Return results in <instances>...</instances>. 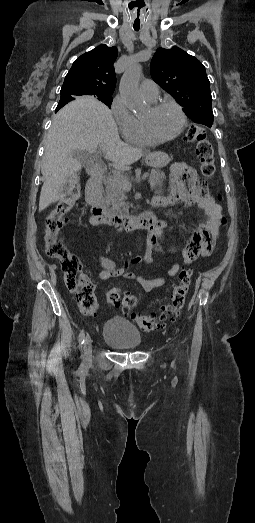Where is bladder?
<instances>
[{
  "mask_svg": "<svg viewBox=\"0 0 255 523\" xmlns=\"http://www.w3.org/2000/svg\"><path fill=\"white\" fill-rule=\"evenodd\" d=\"M103 341L112 346L133 350L142 344L138 330L126 319H107L104 325Z\"/></svg>",
  "mask_w": 255,
  "mask_h": 523,
  "instance_id": "1",
  "label": "bladder"
}]
</instances>
